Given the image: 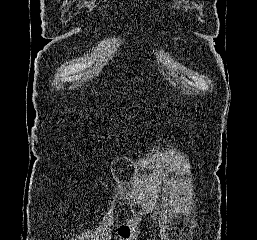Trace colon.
<instances>
[{"instance_id": "1", "label": "colon", "mask_w": 257, "mask_h": 240, "mask_svg": "<svg viewBox=\"0 0 257 240\" xmlns=\"http://www.w3.org/2000/svg\"><path fill=\"white\" fill-rule=\"evenodd\" d=\"M148 204L149 199L144 200L135 213L118 228L117 240H131L148 211Z\"/></svg>"}]
</instances>
